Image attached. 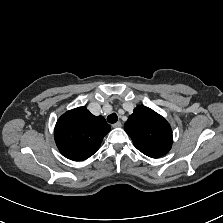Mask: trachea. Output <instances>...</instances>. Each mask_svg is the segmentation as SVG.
Listing matches in <instances>:
<instances>
[{
	"mask_svg": "<svg viewBox=\"0 0 223 223\" xmlns=\"http://www.w3.org/2000/svg\"><path fill=\"white\" fill-rule=\"evenodd\" d=\"M117 120H118V116L115 113H112L107 117V121L111 124L116 123Z\"/></svg>",
	"mask_w": 223,
	"mask_h": 223,
	"instance_id": "obj_1",
	"label": "trachea"
}]
</instances>
